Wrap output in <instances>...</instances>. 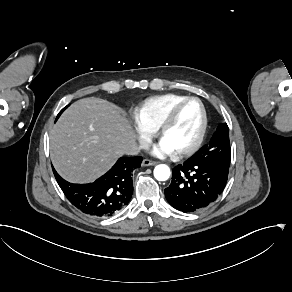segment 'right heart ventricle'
Wrapping results in <instances>:
<instances>
[{"label": "right heart ventricle", "mask_w": 292, "mask_h": 292, "mask_svg": "<svg viewBox=\"0 0 292 292\" xmlns=\"http://www.w3.org/2000/svg\"><path fill=\"white\" fill-rule=\"evenodd\" d=\"M186 97V95L178 93L156 95L133 107L131 111L141 126L157 129L169 108Z\"/></svg>", "instance_id": "obj_1"}]
</instances>
